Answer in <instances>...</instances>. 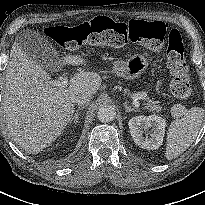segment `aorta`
Returning a JSON list of instances; mask_svg holds the SVG:
<instances>
[{"label": "aorta", "instance_id": "1", "mask_svg": "<svg viewBox=\"0 0 205 205\" xmlns=\"http://www.w3.org/2000/svg\"><path fill=\"white\" fill-rule=\"evenodd\" d=\"M116 116L115 109L112 106H104L99 108L97 117L101 122L113 121Z\"/></svg>", "mask_w": 205, "mask_h": 205}]
</instances>
